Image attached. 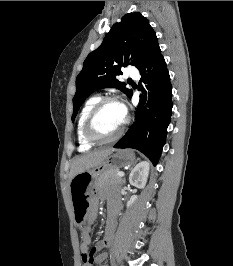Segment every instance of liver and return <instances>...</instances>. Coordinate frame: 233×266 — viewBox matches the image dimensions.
Listing matches in <instances>:
<instances>
[{
    "label": "liver",
    "instance_id": "liver-1",
    "mask_svg": "<svg viewBox=\"0 0 233 266\" xmlns=\"http://www.w3.org/2000/svg\"><path fill=\"white\" fill-rule=\"evenodd\" d=\"M112 151L113 149L109 148L91 151L86 154L76 156L72 161L69 173V182L75 175L98 166Z\"/></svg>",
    "mask_w": 233,
    "mask_h": 266
}]
</instances>
